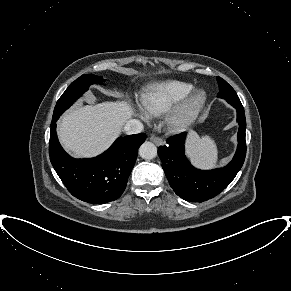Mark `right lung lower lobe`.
<instances>
[{
  "mask_svg": "<svg viewBox=\"0 0 291 291\" xmlns=\"http://www.w3.org/2000/svg\"><path fill=\"white\" fill-rule=\"evenodd\" d=\"M144 133L119 137L101 155L88 159L70 157L59 144L56 121L50 129V161L67 190L76 198L92 204L117 200L124 192Z\"/></svg>",
  "mask_w": 291,
  "mask_h": 291,
  "instance_id": "98d812e1",
  "label": "right lung lower lobe"
}]
</instances>
